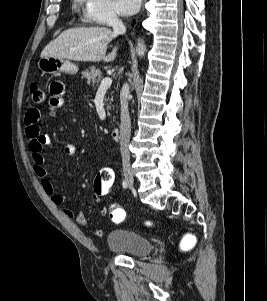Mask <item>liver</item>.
Here are the masks:
<instances>
[{"mask_svg":"<svg viewBox=\"0 0 267 301\" xmlns=\"http://www.w3.org/2000/svg\"><path fill=\"white\" fill-rule=\"evenodd\" d=\"M117 33L106 27L74 28L62 32L41 52V58L55 57L73 61H105L116 58L117 47L106 55L107 45Z\"/></svg>","mask_w":267,"mask_h":301,"instance_id":"1","label":"liver"}]
</instances>
